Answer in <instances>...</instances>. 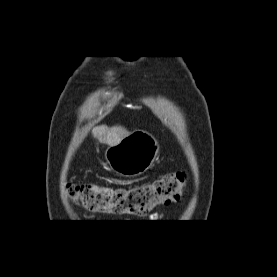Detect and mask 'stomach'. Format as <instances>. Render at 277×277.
Segmentation results:
<instances>
[{
    "instance_id": "stomach-1",
    "label": "stomach",
    "mask_w": 277,
    "mask_h": 277,
    "mask_svg": "<svg viewBox=\"0 0 277 277\" xmlns=\"http://www.w3.org/2000/svg\"><path fill=\"white\" fill-rule=\"evenodd\" d=\"M159 149V143L151 133L138 130L117 145L109 146L105 152V159L116 174L134 177L152 167Z\"/></svg>"
}]
</instances>
